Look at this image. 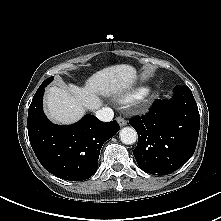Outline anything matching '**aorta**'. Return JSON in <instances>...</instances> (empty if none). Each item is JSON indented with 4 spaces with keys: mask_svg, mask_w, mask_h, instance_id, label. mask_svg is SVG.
Listing matches in <instances>:
<instances>
[{
    "mask_svg": "<svg viewBox=\"0 0 221 221\" xmlns=\"http://www.w3.org/2000/svg\"><path fill=\"white\" fill-rule=\"evenodd\" d=\"M120 140L122 143L130 145L136 142L137 132L132 127H124L119 133Z\"/></svg>",
    "mask_w": 221,
    "mask_h": 221,
    "instance_id": "obj_1",
    "label": "aorta"
}]
</instances>
